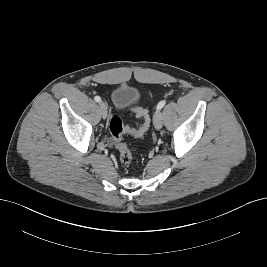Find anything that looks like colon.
Returning a JSON list of instances; mask_svg holds the SVG:
<instances>
[{
  "label": "colon",
  "instance_id": "colon-1",
  "mask_svg": "<svg viewBox=\"0 0 267 267\" xmlns=\"http://www.w3.org/2000/svg\"><path fill=\"white\" fill-rule=\"evenodd\" d=\"M136 116L141 120V124L136 129H131L123 125L122 120L118 116H113L109 121V131L116 149L119 153L120 161L129 165L133 160V153L126 143L123 142L125 134L136 138L143 137L150 127V116L146 109L134 106L132 108Z\"/></svg>",
  "mask_w": 267,
  "mask_h": 267
}]
</instances>
